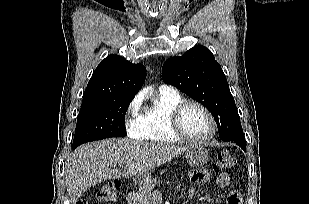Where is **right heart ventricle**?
<instances>
[{"mask_svg":"<svg viewBox=\"0 0 309 204\" xmlns=\"http://www.w3.org/2000/svg\"><path fill=\"white\" fill-rule=\"evenodd\" d=\"M183 97L177 91H159L152 104L141 114L142 135L140 138L157 143H176L180 141L169 125L171 110Z\"/></svg>","mask_w":309,"mask_h":204,"instance_id":"right-heart-ventricle-1","label":"right heart ventricle"}]
</instances>
